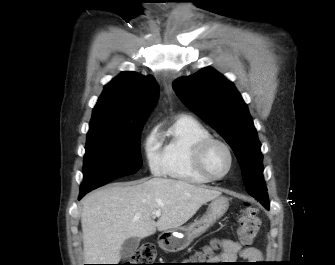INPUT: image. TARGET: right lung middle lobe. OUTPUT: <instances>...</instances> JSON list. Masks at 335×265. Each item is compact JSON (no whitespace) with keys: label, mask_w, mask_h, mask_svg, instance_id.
I'll return each mask as SVG.
<instances>
[{"label":"right lung middle lobe","mask_w":335,"mask_h":265,"mask_svg":"<svg viewBox=\"0 0 335 265\" xmlns=\"http://www.w3.org/2000/svg\"><path fill=\"white\" fill-rule=\"evenodd\" d=\"M143 123L131 126L121 133L94 132L87 136L84 156V180L80 192L97 187L142 167L140 135Z\"/></svg>","instance_id":"dd1d6c3e"}]
</instances>
